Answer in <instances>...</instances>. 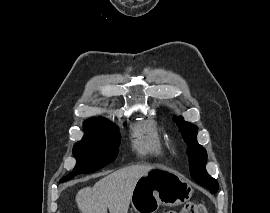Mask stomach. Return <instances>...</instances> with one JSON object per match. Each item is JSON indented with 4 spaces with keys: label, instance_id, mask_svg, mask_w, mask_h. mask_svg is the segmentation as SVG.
I'll use <instances>...</instances> for the list:
<instances>
[{
    "label": "stomach",
    "instance_id": "0dacf381",
    "mask_svg": "<svg viewBox=\"0 0 270 213\" xmlns=\"http://www.w3.org/2000/svg\"><path fill=\"white\" fill-rule=\"evenodd\" d=\"M193 189L179 173L153 168L135 184L131 204L136 213H155L160 205L174 207L190 200Z\"/></svg>",
    "mask_w": 270,
    "mask_h": 213
}]
</instances>
